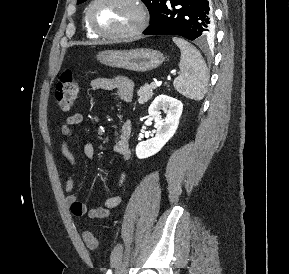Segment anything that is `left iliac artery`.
Listing matches in <instances>:
<instances>
[{
	"label": "left iliac artery",
	"mask_w": 289,
	"mask_h": 274,
	"mask_svg": "<svg viewBox=\"0 0 289 274\" xmlns=\"http://www.w3.org/2000/svg\"><path fill=\"white\" fill-rule=\"evenodd\" d=\"M106 274H112V271L109 269Z\"/></svg>",
	"instance_id": "44dca946"
}]
</instances>
